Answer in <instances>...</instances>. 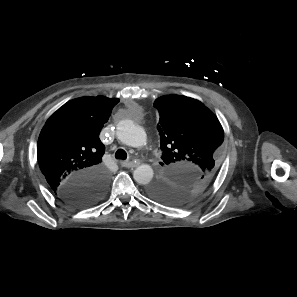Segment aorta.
I'll return each mask as SVG.
<instances>
[{
	"label": "aorta",
	"mask_w": 297,
	"mask_h": 297,
	"mask_svg": "<svg viewBox=\"0 0 297 297\" xmlns=\"http://www.w3.org/2000/svg\"><path fill=\"white\" fill-rule=\"evenodd\" d=\"M116 136L120 142L134 148L143 146L147 140L145 130L131 120H122L118 123ZM153 174L150 165L141 164L134 170L133 178L137 183L146 185L152 180Z\"/></svg>",
	"instance_id": "1"
}]
</instances>
